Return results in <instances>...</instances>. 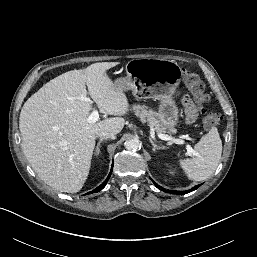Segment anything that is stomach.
I'll return each instance as SVG.
<instances>
[{
    "instance_id": "obj_1",
    "label": "stomach",
    "mask_w": 257,
    "mask_h": 257,
    "mask_svg": "<svg viewBox=\"0 0 257 257\" xmlns=\"http://www.w3.org/2000/svg\"><path fill=\"white\" fill-rule=\"evenodd\" d=\"M181 73V67L174 60L132 59L126 64V77L115 80L114 85L123 91L132 90L136 97L159 99V118L174 128L179 110L173 98Z\"/></svg>"
}]
</instances>
